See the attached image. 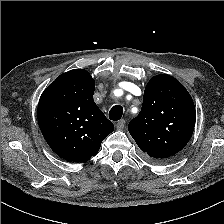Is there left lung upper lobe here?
I'll list each match as a JSON object with an SVG mask.
<instances>
[{
  "instance_id": "5c2ea615",
  "label": "left lung upper lobe",
  "mask_w": 224,
  "mask_h": 224,
  "mask_svg": "<svg viewBox=\"0 0 224 224\" xmlns=\"http://www.w3.org/2000/svg\"><path fill=\"white\" fill-rule=\"evenodd\" d=\"M195 121V106L185 87L159 74L146 85L142 109L128 130L149 160L164 163L188 143Z\"/></svg>"
}]
</instances>
